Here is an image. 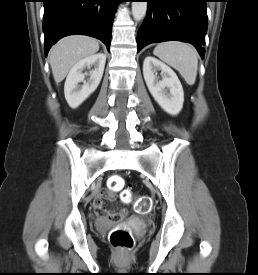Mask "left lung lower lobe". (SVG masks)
<instances>
[{
    "label": "left lung lower lobe",
    "instance_id": "1",
    "mask_svg": "<svg viewBox=\"0 0 258 275\" xmlns=\"http://www.w3.org/2000/svg\"><path fill=\"white\" fill-rule=\"evenodd\" d=\"M146 18L137 34V52L150 43L178 40L193 44L204 57L207 0H147Z\"/></svg>",
    "mask_w": 258,
    "mask_h": 275
}]
</instances>
